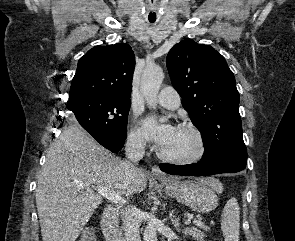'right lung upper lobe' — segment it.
Wrapping results in <instances>:
<instances>
[{"label": "right lung upper lobe", "mask_w": 295, "mask_h": 241, "mask_svg": "<svg viewBox=\"0 0 295 241\" xmlns=\"http://www.w3.org/2000/svg\"><path fill=\"white\" fill-rule=\"evenodd\" d=\"M134 67L128 44L95 46L78 61L68 105L91 99L130 101Z\"/></svg>", "instance_id": "right-lung-upper-lobe-1"}]
</instances>
